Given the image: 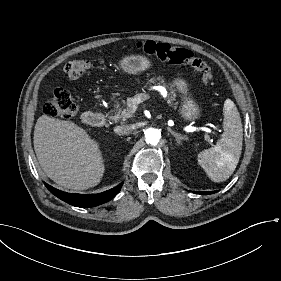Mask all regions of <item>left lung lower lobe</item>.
<instances>
[{
    "label": "left lung lower lobe",
    "mask_w": 281,
    "mask_h": 281,
    "mask_svg": "<svg viewBox=\"0 0 281 281\" xmlns=\"http://www.w3.org/2000/svg\"><path fill=\"white\" fill-rule=\"evenodd\" d=\"M217 191H194L196 194H213L216 193Z\"/></svg>",
    "instance_id": "left-lung-lower-lobe-1"
}]
</instances>
